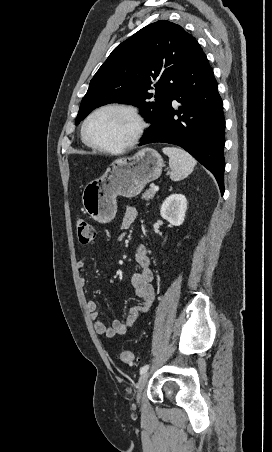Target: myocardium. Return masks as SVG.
I'll return each mask as SVG.
<instances>
[{"instance_id":"f54148a6","label":"myocardium","mask_w":272,"mask_h":452,"mask_svg":"<svg viewBox=\"0 0 272 452\" xmlns=\"http://www.w3.org/2000/svg\"><path fill=\"white\" fill-rule=\"evenodd\" d=\"M106 110H119V111L126 112L127 114H129L132 117V119L135 122L134 133L132 134V136L130 137V139L127 142H125L124 144H122L120 146L112 147V146H106V145L99 144V143L93 141L88 134V125H89L91 119L94 116H96L97 114H99L103 111H106ZM145 128H146V123L136 108H134L133 106H130V105H126V104L110 103V104H105V105H102V106L96 108L94 111H92L87 116V118L85 119V121L83 122V125H82V138L87 145H89L90 147H92L96 150L113 153V154H118V153H122V152L132 148L134 145H136L138 143V141L141 139V137L145 131Z\"/></svg>"}]
</instances>
